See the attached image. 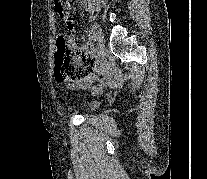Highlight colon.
<instances>
[{
  "mask_svg": "<svg viewBox=\"0 0 207 179\" xmlns=\"http://www.w3.org/2000/svg\"><path fill=\"white\" fill-rule=\"evenodd\" d=\"M55 10L61 17L71 12L70 0H55ZM67 24L71 19L67 18ZM71 40L61 34L56 39L55 77L59 82L79 83L92 72V58L85 52L73 51Z\"/></svg>",
  "mask_w": 207,
  "mask_h": 179,
  "instance_id": "obj_1",
  "label": "colon"
}]
</instances>
